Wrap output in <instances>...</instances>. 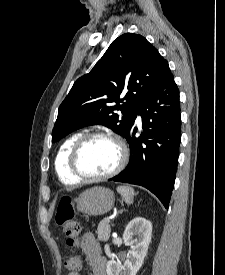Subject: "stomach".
Masks as SVG:
<instances>
[{
	"instance_id": "1",
	"label": "stomach",
	"mask_w": 225,
	"mask_h": 275,
	"mask_svg": "<svg viewBox=\"0 0 225 275\" xmlns=\"http://www.w3.org/2000/svg\"><path fill=\"white\" fill-rule=\"evenodd\" d=\"M114 192L96 186L81 193L76 199L78 211L88 216H100L111 210L114 205Z\"/></svg>"
}]
</instances>
